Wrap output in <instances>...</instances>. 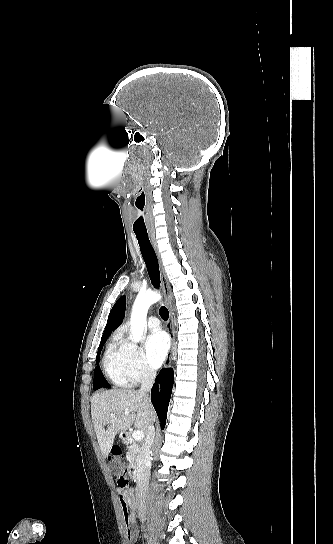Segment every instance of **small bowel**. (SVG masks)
Here are the masks:
<instances>
[{"mask_svg":"<svg viewBox=\"0 0 333 544\" xmlns=\"http://www.w3.org/2000/svg\"><path fill=\"white\" fill-rule=\"evenodd\" d=\"M119 502L124 514L127 537L130 543L136 541L139 529L136 523V504L134 489L120 490Z\"/></svg>","mask_w":333,"mask_h":544,"instance_id":"obj_1","label":"small bowel"}]
</instances>
